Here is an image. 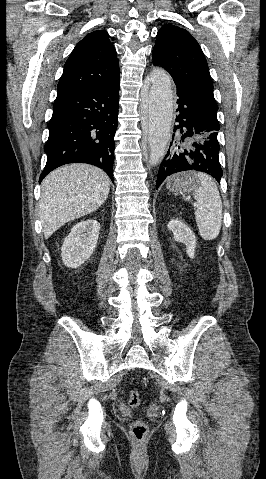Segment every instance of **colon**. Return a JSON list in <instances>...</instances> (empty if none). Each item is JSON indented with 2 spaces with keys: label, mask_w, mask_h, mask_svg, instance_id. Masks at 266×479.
Listing matches in <instances>:
<instances>
[{
  "label": "colon",
  "mask_w": 266,
  "mask_h": 479,
  "mask_svg": "<svg viewBox=\"0 0 266 479\" xmlns=\"http://www.w3.org/2000/svg\"><path fill=\"white\" fill-rule=\"evenodd\" d=\"M127 402L130 407L137 408L141 404V397L136 391H131L128 394ZM130 434L132 439L140 444L142 443L148 434V427L142 420H136L132 423L130 427Z\"/></svg>",
  "instance_id": "colon-1"
}]
</instances>
